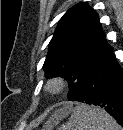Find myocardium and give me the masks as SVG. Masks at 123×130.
Masks as SVG:
<instances>
[{
	"label": "myocardium",
	"mask_w": 123,
	"mask_h": 130,
	"mask_svg": "<svg viewBox=\"0 0 123 130\" xmlns=\"http://www.w3.org/2000/svg\"><path fill=\"white\" fill-rule=\"evenodd\" d=\"M66 87V80L62 77H54L47 82L46 88L52 94H58Z\"/></svg>",
	"instance_id": "myocardium-1"
}]
</instances>
